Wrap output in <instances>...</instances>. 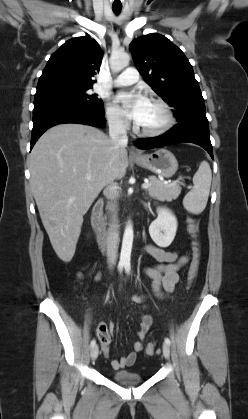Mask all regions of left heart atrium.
Returning <instances> with one entry per match:
<instances>
[{
  "label": "left heart atrium",
  "mask_w": 248,
  "mask_h": 419,
  "mask_svg": "<svg viewBox=\"0 0 248 419\" xmlns=\"http://www.w3.org/2000/svg\"><path fill=\"white\" fill-rule=\"evenodd\" d=\"M116 102L130 119L139 123L144 118L149 100L138 92H121L116 96Z\"/></svg>",
  "instance_id": "obj_1"
}]
</instances>
